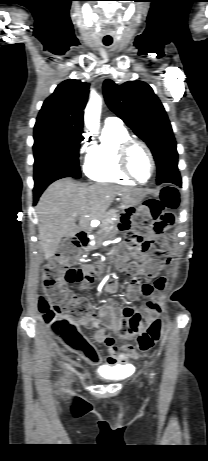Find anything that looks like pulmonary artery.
Segmentation results:
<instances>
[{
	"instance_id": "e3ab8cb5",
	"label": "pulmonary artery",
	"mask_w": 208,
	"mask_h": 461,
	"mask_svg": "<svg viewBox=\"0 0 208 461\" xmlns=\"http://www.w3.org/2000/svg\"><path fill=\"white\" fill-rule=\"evenodd\" d=\"M105 124L108 126H120L122 121L118 117L110 116L105 119Z\"/></svg>"
}]
</instances>
